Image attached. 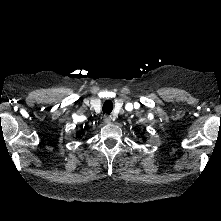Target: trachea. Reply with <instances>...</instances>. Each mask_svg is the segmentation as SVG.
Masks as SVG:
<instances>
[{"label": "trachea", "instance_id": "3493384b", "mask_svg": "<svg viewBox=\"0 0 221 221\" xmlns=\"http://www.w3.org/2000/svg\"><path fill=\"white\" fill-rule=\"evenodd\" d=\"M112 110H113V103L110 100H106L102 107L103 113L110 114Z\"/></svg>", "mask_w": 221, "mask_h": 221}]
</instances>
